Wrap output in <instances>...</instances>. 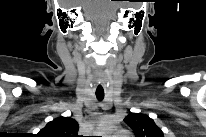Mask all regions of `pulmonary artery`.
<instances>
[{
    "label": "pulmonary artery",
    "mask_w": 206,
    "mask_h": 137,
    "mask_svg": "<svg viewBox=\"0 0 206 137\" xmlns=\"http://www.w3.org/2000/svg\"><path fill=\"white\" fill-rule=\"evenodd\" d=\"M112 137H129L126 131H117Z\"/></svg>",
    "instance_id": "obj_1"
}]
</instances>
